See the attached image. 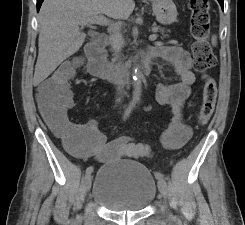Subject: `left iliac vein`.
Instances as JSON below:
<instances>
[{
  "instance_id": "obj_1",
  "label": "left iliac vein",
  "mask_w": 245,
  "mask_h": 225,
  "mask_svg": "<svg viewBox=\"0 0 245 225\" xmlns=\"http://www.w3.org/2000/svg\"><path fill=\"white\" fill-rule=\"evenodd\" d=\"M158 189L164 198H167V183L165 180L158 181Z\"/></svg>"
}]
</instances>
